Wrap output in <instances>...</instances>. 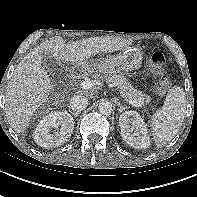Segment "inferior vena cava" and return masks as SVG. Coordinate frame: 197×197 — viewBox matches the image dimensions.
I'll list each match as a JSON object with an SVG mask.
<instances>
[{
  "label": "inferior vena cava",
  "mask_w": 197,
  "mask_h": 197,
  "mask_svg": "<svg viewBox=\"0 0 197 197\" xmlns=\"http://www.w3.org/2000/svg\"><path fill=\"white\" fill-rule=\"evenodd\" d=\"M88 106V99L83 95H74L70 99V108L74 113L80 114Z\"/></svg>",
  "instance_id": "602c4592"
}]
</instances>
